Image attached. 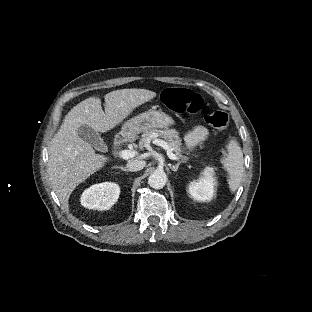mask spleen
Returning <instances> with one entry per match:
<instances>
[{
    "mask_svg": "<svg viewBox=\"0 0 312 312\" xmlns=\"http://www.w3.org/2000/svg\"><path fill=\"white\" fill-rule=\"evenodd\" d=\"M228 155L221 162L229 174L228 184L232 192L236 191L240 185L243 174V153L237 141L231 140L227 145Z\"/></svg>",
    "mask_w": 312,
    "mask_h": 312,
    "instance_id": "1",
    "label": "spleen"
}]
</instances>
